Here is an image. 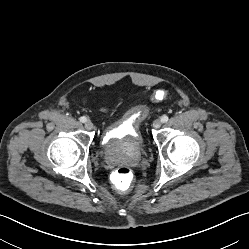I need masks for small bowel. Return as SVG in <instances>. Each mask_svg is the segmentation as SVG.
Here are the masks:
<instances>
[{
	"mask_svg": "<svg viewBox=\"0 0 249 249\" xmlns=\"http://www.w3.org/2000/svg\"><path fill=\"white\" fill-rule=\"evenodd\" d=\"M83 102H84V103L86 102V99H85V97H83Z\"/></svg>",
	"mask_w": 249,
	"mask_h": 249,
	"instance_id": "c3829d8e",
	"label": "small bowel"
}]
</instances>
